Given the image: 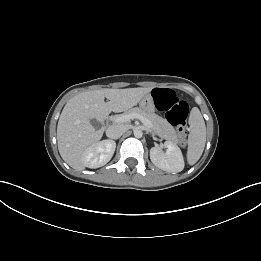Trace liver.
<instances>
[{
  "mask_svg": "<svg viewBox=\"0 0 261 261\" xmlns=\"http://www.w3.org/2000/svg\"><path fill=\"white\" fill-rule=\"evenodd\" d=\"M152 88L100 89L85 91L71 98L60 115L57 126L58 150L72 168L83 170V153L103 135L91 124L99 122L110 112H123L137 105ZM107 98L109 101L105 102Z\"/></svg>",
  "mask_w": 261,
  "mask_h": 261,
  "instance_id": "liver-1",
  "label": "liver"
}]
</instances>
